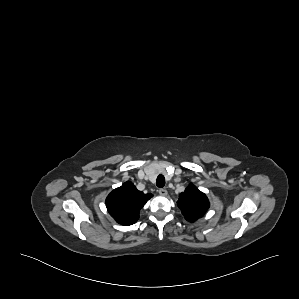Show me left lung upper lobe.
<instances>
[{
  "label": "left lung upper lobe",
  "instance_id": "left-lung-upper-lobe-1",
  "mask_svg": "<svg viewBox=\"0 0 299 299\" xmlns=\"http://www.w3.org/2000/svg\"><path fill=\"white\" fill-rule=\"evenodd\" d=\"M177 205L189 222L201 218L210 206L206 195L193 184H189L185 191L179 195Z\"/></svg>",
  "mask_w": 299,
  "mask_h": 299
}]
</instances>
